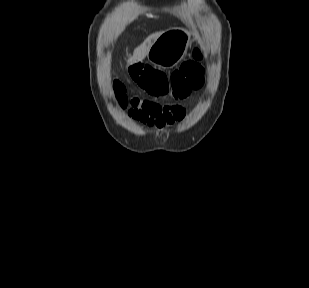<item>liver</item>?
I'll return each mask as SVG.
<instances>
[{
	"label": "liver",
	"instance_id": "1",
	"mask_svg": "<svg viewBox=\"0 0 309 288\" xmlns=\"http://www.w3.org/2000/svg\"><path fill=\"white\" fill-rule=\"evenodd\" d=\"M161 32H156L148 36L144 42L138 46L134 52L133 56L130 58L129 62L130 64L142 61L148 54L152 44L154 41L161 35Z\"/></svg>",
	"mask_w": 309,
	"mask_h": 288
}]
</instances>
